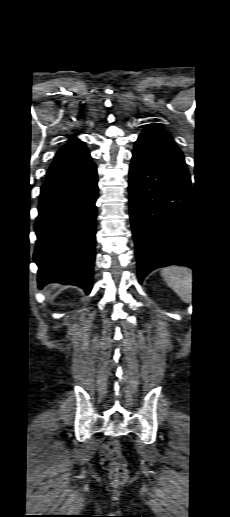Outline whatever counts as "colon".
<instances>
[{
    "mask_svg": "<svg viewBox=\"0 0 230 517\" xmlns=\"http://www.w3.org/2000/svg\"><path fill=\"white\" fill-rule=\"evenodd\" d=\"M101 465L109 472L114 484H122L128 478L126 460L121 445L117 441H109L100 449Z\"/></svg>",
    "mask_w": 230,
    "mask_h": 517,
    "instance_id": "1",
    "label": "colon"
}]
</instances>
